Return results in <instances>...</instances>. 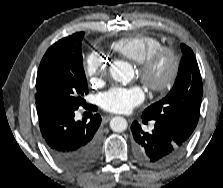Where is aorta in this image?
<instances>
[{"mask_svg": "<svg viewBox=\"0 0 223 188\" xmlns=\"http://www.w3.org/2000/svg\"><path fill=\"white\" fill-rule=\"evenodd\" d=\"M110 74L117 82H128L133 77V68L126 61H115L110 68ZM127 126L126 119L120 116H116L110 121V128L115 132L125 131Z\"/></svg>", "mask_w": 223, "mask_h": 188, "instance_id": "obj_1", "label": "aorta"}]
</instances>
